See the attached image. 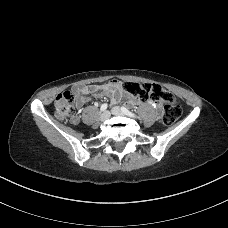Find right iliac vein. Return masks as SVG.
<instances>
[{
  "label": "right iliac vein",
  "instance_id": "obj_1",
  "mask_svg": "<svg viewBox=\"0 0 228 228\" xmlns=\"http://www.w3.org/2000/svg\"><path fill=\"white\" fill-rule=\"evenodd\" d=\"M110 118V112L109 111H105L100 115V120L101 121H105L107 119Z\"/></svg>",
  "mask_w": 228,
  "mask_h": 228
}]
</instances>
